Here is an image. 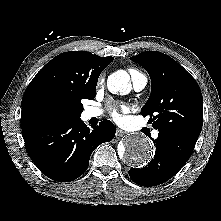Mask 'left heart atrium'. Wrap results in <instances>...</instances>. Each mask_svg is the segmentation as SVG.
Instances as JSON below:
<instances>
[{"instance_id": "1", "label": "left heart atrium", "mask_w": 221, "mask_h": 221, "mask_svg": "<svg viewBox=\"0 0 221 221\" xmlns=\"http://www.w3.org/2000/svg\"><path fill=\"white\" fill-rule=\"evenodd\" d=\"M123 107V106H118L117 104H113L110 107V113L114 120L118 121L120 119L119 114H118V108Z\"/></svg>"}]
</instances>
